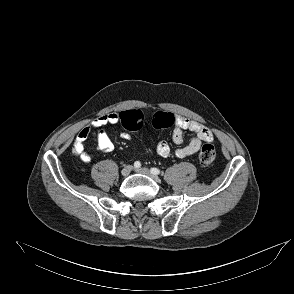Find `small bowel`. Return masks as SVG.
<instances>
[{
  "label": "small bowel",
  "mask_w": 294,
  "mask_h": 294,
  "mask_svg": "<svg viewBox=\"0 0 294 294\" xmlns=\"http://www.w3.org/2000/svg\"><path fill=\"white\" fill-rule=\"evenodd\" d=\"M119 122L120 114L107 113L97 117L92 121L90 127L87 126L79 132L75 142V151L83 162L90 163L92 160L90 154L84 150V142L88 138L91 128L97 129V149L108 153L114 149V144L103 128L107 125L118 124ZM174 127L172 139L179 147L172 149L166 141L158 142L156 152L163 158L173 156L185 158L191 156L201 149L203 142H211L213 140L212 132L206 126L182 115H174ZM185 131H190L194 134V137L186 145H184ZM120 136L125 140L131 139L130 134L127 132H121Z\"/></svg>",
  "instance_id": "c3829d8e"
}]
</instances>
